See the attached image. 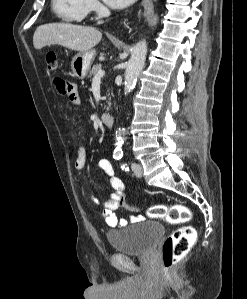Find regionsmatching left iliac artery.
Here are the masks:
<instances>
[{"label":"left iliac artery","instance_id":"1","mask_svg":"<svg viewBox=\"0 0 247 299\" xmlns=\"http://www.w3.org/2000/svg\"><path fill=\"white\" fill-rule=\"evenodd\" d=\"M121 168H122V170H125V171H128V170H129L128 167L126 166V164H122V165H121Z\"/></svg>","mask_w":247,"mask_h":299}]
</instances>
